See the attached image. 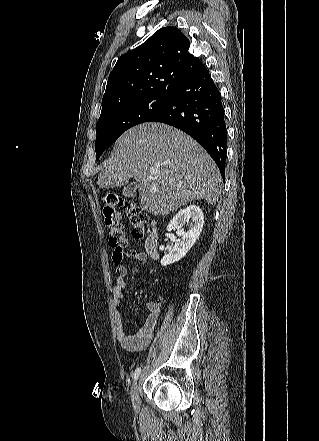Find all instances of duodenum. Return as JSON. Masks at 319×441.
Here are the masks:
<instances>
[{"label":"duodenum","mask_w":319,"mask_h":441,"mask_svg":"<svg viewBox=\"0 0 319 441\" xmlns=\"http://www.w3.org/2000/svg\"><path fill=\"white\" fill-rule=\"evenodd\" d=\"M156 231L153 230L146 239V251L151 257H157L158 255V239Z\"/></svg>","instance_id":"410a0bca"}]
</instances>
